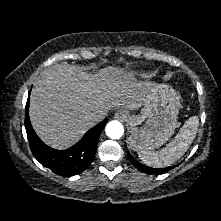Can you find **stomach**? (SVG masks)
<instances>
[{
  "label": "stomach",
  "mask_w": 221,
  "mask_h": 221,
  "mask_svg": "<svg viewBox=\"0 0 221 221\" xmlns=\"http://www.w3.org/2000/svg\"><path fill=\"white\" fill-rule=\"evenodd\" d=\"M179 107V95L173 88L150 84L140 114L127 113L129 147L135 151H151L162 146L174 134Z\"/></svg>",
  "instance_id": "1"
}]
</instances>
